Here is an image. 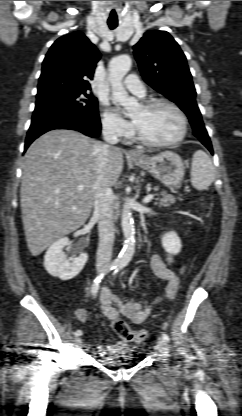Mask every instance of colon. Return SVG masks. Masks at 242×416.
Returning a JSON list of instances; mask_svg holds the SVG:
<instances>
[{"mask_svg": "<svg viewBox=\"0 0 242 416\" xmlns=\"http://www.w3.org/2000/svg\"><path fill=\"white\" fill-rule=\"evenodd\" d=\"M112 331L128 342H142L149 337V332L146 330H133L128 324L121 318H116L111 322Z\"/></svg>", "mask_w": 242, "mask_h": 416, "instance_id": "1", "label": "colon"}]
</instances>
